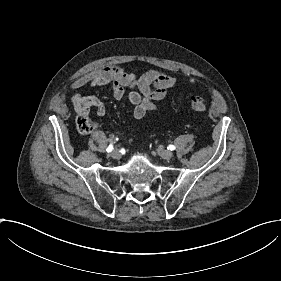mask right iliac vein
Segmentation results:
<instances>
[{"instance_id": "right-iliac-vein-1", "label": "right iliac vein", "mask_w": 281, "mask_h": 281, "mask_svg": "<svg viewBox=\"0 0 281 281\" xmlns=\"http://www.w3.org/2000/svg\"><path fill=\"white\" fill-rule=\"evenodd\" d=\"M113 159H114L115 161H120V160L122 159V154H121L120 152H115V153L113 154Z\"/></svg>"}]
</instances>
